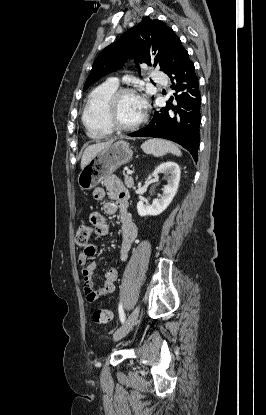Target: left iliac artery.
<instances>
[{
  "instance_id": "left-iliac-artery-1",
  "label": "left iliac artery",
  "mask_w": 266,
  "mask_h": 415,
  "mask_svg": "<svg viewBox=\"0 0 266 415\" xmlns=\"http://www.w3.org/2000/svg\"><path fill=\"white\" fill-rule=\"evenodd\" d=\"M119 317H120V321L121 323L125 322V313L122 307V303L119 304Z\"/></svg>"
}]
</instances>
